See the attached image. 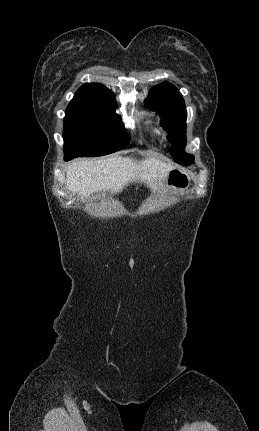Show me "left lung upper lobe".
Listing matches in <instances>:
<instances>
[{
  "instance_id": "5c2ea615",
  "label": "left lung upper lobe",
  "mask_w": 259,
  "mask_h": 431,
  "mask_svg": "<svg viewBox=\"0 0 259 431\" xmlns=\"http://www.w3.org/2000/svg\"><path fill=\"white\" fill-rule=\"evenodd\" d=\"M145 103L162 118L161 125L169 133L173 145L171 155L174 160L182 165L190 164L194 157L184 152L187 112L182 95L172 84L164 82L152 87Z\"/></svg>"
}]
</instances>
